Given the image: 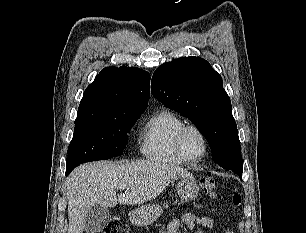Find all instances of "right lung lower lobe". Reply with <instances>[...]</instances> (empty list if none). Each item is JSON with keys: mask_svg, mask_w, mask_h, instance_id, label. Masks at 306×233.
<instances>
[{"mask_svg": "<svg viewBox=\"0 0 306 233\" xmlns=\"http://www.w3.org/2000/svg\"><path fill=\"white\" fill-rule=\"evenodd\" d=\"M72 170L66 168V174L68 175Z\"/></svg>", "mask_w": 306, "mask_h": 233, "instance_id": "obj_1", "label": "right lung lower lobe"}]
</instances>
